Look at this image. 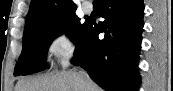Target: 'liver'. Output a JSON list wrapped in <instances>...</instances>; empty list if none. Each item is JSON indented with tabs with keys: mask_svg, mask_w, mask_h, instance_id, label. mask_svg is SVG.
<instances>
[{
	"mask_svg": "<svg viewBox=\"0 0 173 91\" xmlns=\"http://www.w3.org/2000/svg\"><path fill=\"white\" fill-rule=\"evenodd\" d=\"M15 91H102L90 78L63 71L49 76L19 80Z\"/></svg>",
	"mask_w": 173,
	"mask_h": 91,
	"instance_id": "6515ba94",
	"label": "liver"
}]
</instances>
